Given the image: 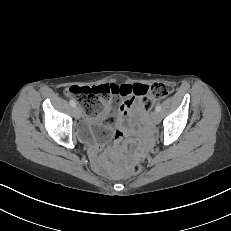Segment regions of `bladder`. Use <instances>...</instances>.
<instances>
[{
	"label": "bladder",
	"mask_w": 231,
	"mask_h": 231,
	"mask_svg": "<svg viewBox=\"0 0 231 231\" xmlns=\"http://www.w3.org/2000/svg\"><path fill=\"white\" fill-rule=\"evenodd\" d=\"M95 131L91 128H81L79 127L77 130V137L80 141L84 143H88L93 139Z\"/></svg>",
	"instance_id": "bladder-1"
}]
</instances>
